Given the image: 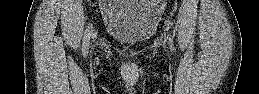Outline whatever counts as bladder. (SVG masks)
Returning a JSON list of instances; mask_svg holds the SVG:
<instances>
[{
  "instance_id": "obj_1",
  "label": "bladder",
  "mask_w": 259,
  "mask_h": 94,
  "mask_svg": "<svg viewBox=\"0 0 259 94\" xmlns=\"http://www.w3.org/2000/svg\"><path fill=\"white\" fill-rule=\"evenodd\" d=\"M161 13L160 6L149 0H111L102 8L105 32L129 47H137L153 36Z\"/></svg>"
}]
</instances>
